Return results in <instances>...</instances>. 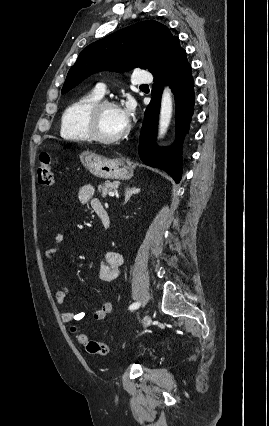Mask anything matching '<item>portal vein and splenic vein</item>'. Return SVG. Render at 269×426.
Here are the masks:
<instances>
[{
  "instance_id": "1",
  "label": "portal vein and splenic vein",
  "mask_w": 269,
  "mask_h": 426,
  "mask_svg": "<svg viewBox=\"0 0 269 426\" xmlns=\"http://www.w3.org/2000/svg\"><path fill=\"white\" fill-rule=\"evenodd\" d=\"M108 195H109L110 197H114V196H115V193H114V192H109V193H108Z\"/></svg>"
}]
</instances>
